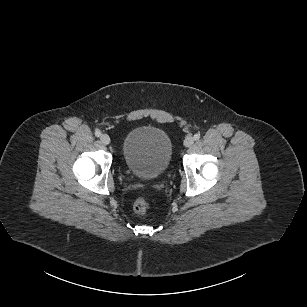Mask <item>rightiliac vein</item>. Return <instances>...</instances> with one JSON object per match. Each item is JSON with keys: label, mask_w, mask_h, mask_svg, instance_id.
<instances>
[{"label": "right iliac vein", "mask_w": 307, "mask_h": 307, "mask_svg": "<svg viewBox=\"0 0 307 307\" xmlns=\"http://www.w3.org/2000/svg\"><path fill=\"white\" fill-rule=\"evenodd\" d=\"M100 141L104 144V145H108L110 144V137L107 134H102L100 136Z\"/></svg>", "instance_id": "63e3f726"}]
</instances>
